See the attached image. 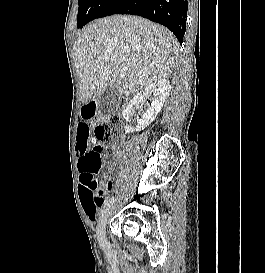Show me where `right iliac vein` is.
Here are the masks:
<instances>
[{
	"mask_svg": "<svg viewBox=\"0 0 265 273\" xmlns=\"http://www.w3.org/2000/svg\"><path fill=\"white\" fill-rule=\"evenodd\" d=\"M113 209H114L113 207L106 208L102 212V214L99 218V221H98V225H97V229H96L97 240L102 247H105L108 244L107 238H106V224H107L109 217L113 213Z\"/></svg>",
	"mask_w": 265,
	"mask_h": 273,
	"instance_id": "obj_1",
	"label": "right iliac vein"
}]
</instances>
